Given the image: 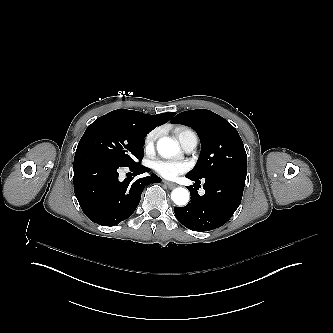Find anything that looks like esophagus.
Listing matches in <instances>:
<instances>
[{
  "label": "esophagus",
  "mask_w": 333,
  "mask_h": 333,
  "mask_svg": "<svg viewBox=\"0 0 333 333\" xmlns=\"http://www.w3.org/2000/svg\"><path fill=\"white\" fill-rule=\"evenodd\" d=\"M164 183L168 186L169 189H173L177 186L175 183L169 181H164Z\"/></svg>",
  "instance_id": "esophagus-1"
}]
</instances>
